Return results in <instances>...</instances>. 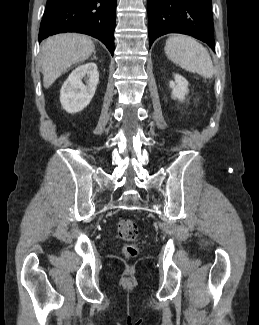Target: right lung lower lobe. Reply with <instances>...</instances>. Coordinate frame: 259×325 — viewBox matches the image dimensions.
Here are the masks:
<instances>
[{
    "label": "right lung lower lobe",
    "instance_id": "obj_1",
    "mask_svg": "<svg viewBox=\"0 0 259 325\" xmlns=\"http://www.w3.org/2000/svg\"><path fill=\"white\" fill-rule=\"evenodd\" d=\"M116 0H47L39 41L62 32H78L103 42L113 55Z\"/></svg>",
    "mask_w": 259,
    "mask_h": 325
}]
</instances>
